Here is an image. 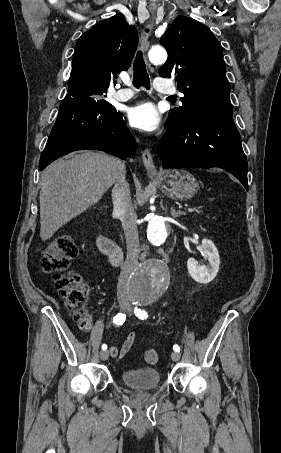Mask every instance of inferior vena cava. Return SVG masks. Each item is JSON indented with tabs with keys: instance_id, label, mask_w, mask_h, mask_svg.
Segmentation results:
<instances>
[{
	"instance_id": "1",
	"label": "inferior vena cava",
	"mask_w": 281,
	"mask_h": 453,
	"mask_svg": "<svg viewBox=\"0 0 281 453\" xmlns=\"http://www.w3.org/2000/svg\"><path fill=\"white\" fill-rule=\"evenodd\" d=\"M120 162L121 176L112 188L113 214L120 218L127 243V257L117 285L118 301H128V281L138 263L140 245L137 229V216L131 202L128 182L125 180V164Z\"/></svg>"
}]
</instances>
